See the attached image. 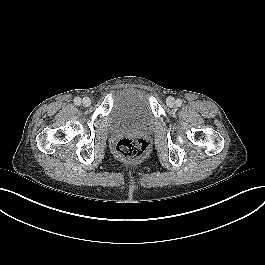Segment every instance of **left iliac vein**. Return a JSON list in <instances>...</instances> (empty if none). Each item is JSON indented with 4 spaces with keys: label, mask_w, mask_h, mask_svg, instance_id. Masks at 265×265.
Returning a JSON list of instances; mask_svg holds the SVG:
<instances>
[{
    "label": "left iliac vein",
    "mask_w": 265,
    "mask_h": 265,
    "mask_svg": "<svg viewBox=\"0 0 265 265\" xmlns=\"http://www.w3.org/2000/svg\"><path fill=\"white\" fill-rule=\"evenodd\" d=\"M166 103L169 107H173L175 105V99L171 96L167 97Z\"/></svg>",
    "instance_id": "obj_1"
}]
</instances>
